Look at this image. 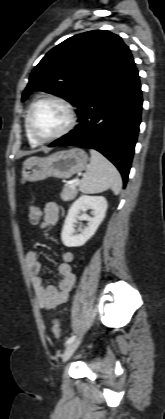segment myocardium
<instances>
[{
  "label": "myocardium",
  "mask_w": 165,
  "mask_h": 419,
  "mask_svg": "<svg viewBox=\"0 0 165 419\" xmlns=\"http://www.w3.org/2000/svg\"><path fill=\"white\" fill-rule=\"evenodd\" d=\"M46 101H52V102H56L58 104H60L66 111L67 116H68V121L66 123V125L64 126V128H62L58 133L50 136V137H40L34 130L33 127V123H32V116H33V112L35 110V108L42 102H46ZM76 120H77V114L76 111L74 109V107L72 106V104L67 101L66 99L56 96V95H47L44 96L38 100H36L35 102H33V104L30 106L28 114H27V118H26V122H27V129L30 133V135L32 136V138L40 144L43 143H49V142H53L55 140H58L64 136H66L75 126L76 124Z\"/></svg>",
  "instance_id": "1"
}]
</instances>
